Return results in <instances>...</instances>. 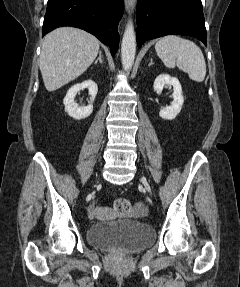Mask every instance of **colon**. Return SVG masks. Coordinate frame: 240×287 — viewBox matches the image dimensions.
Returning <instances> with one entry per match:
<instances>
[{
  "label": "colon",
  "instance_id": "colon-1",
  "mask_svg": "<svg viewBox=\"0 0 240 287\" xmlns=\"http://www.w3.org/2000/svg\"><path fill=\"white\" fill-rule=\"evenodd\" d=\"M112 211H113V214L118 217H125L131 213H133L134 215H142V213L140 212L132 211L131 203L129 202V200L125 198H117L113 202Z\"/></svg>",
  "mask_w": 240,
  "mask_h": 287
}]
</instances>
